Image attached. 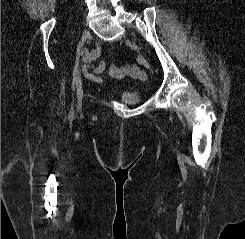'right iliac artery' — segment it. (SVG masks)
Returning a JSON list of instances; mask_svg holds the SVG:
<instances>
[{"mask_svg":"<svg viewBox=\"0 0 245 239\" xmlns=\"http://www.w3.org/2000/svg\"><path fill=\"white\" fill-rule=\"evenodd\" d=\"M82 47H83V43L80 41L78 48H77L76 63L74 66V71H73V81H72V98H73V101L71 104V111H73V107H74V91H75V86L77 84V76L79 74V58H80Z\"/></svg>","mask_w":245,"mask_h":239,"instance_id":"obj_1","label":"right iliac artery"}]
</instances>
